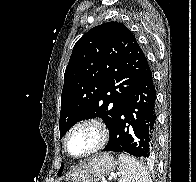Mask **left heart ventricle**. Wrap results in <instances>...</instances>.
<instances>
[{
    "label": "left heart ventricle",
    "mask_w": 196,
    "mask_h": 182,
    "mask_svg": "<svg viewBox=\"0 0 196 182\" xmlns=\"http://www.w3.org/2000/svg\"><path fill=\"white\" fill-rule=\"evenodd\" d=\"M96 141V134L91 128H81L69 138L68 147L72 154L80 155L88 151Z\"/></svg>",
    "instance_id": "obj_1"
}]
</instances>
